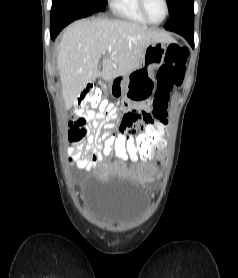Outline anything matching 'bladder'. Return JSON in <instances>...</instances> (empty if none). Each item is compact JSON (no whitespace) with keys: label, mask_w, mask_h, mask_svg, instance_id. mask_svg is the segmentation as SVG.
I'll list each match as a JSON object with an SVG mask.
<instances>
[{"label":"bladder","mask_w":238,"mask_h":278,"mask_svg":"<svg viewBox=\"0 0 238 278\" xmlns=\"http://www.w3.org/2000/svg\"><path fill=\"white\" fill-rule=\"evenodd\" d=\"M100 179L99 175L95 176ZM87 181L84 198L92 217L108 228L127 229L144 216L149 200L137 181ZM134 185V186H133Z\"/></svg>","instance_id":"obj_1"}]
</instances>
